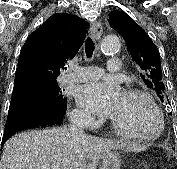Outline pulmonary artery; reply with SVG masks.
<instances>
[{"label":"pulmonary artery","mask_w":177,"mask_h":169,"mask_svg":"<svg viewBox=\"0 0 177 169\" xmlns=\"http://www.w3.org/2000/svg\"><path fill=\"white\" fill-rule=\"evenodd\" d=\"M107 65L110 72H119L121 69V61L118 57H109ZM70 69L72 72L62 78L64 84L93 81L100 78L104 73L101 68L96 66L82 67L73 64Z\"/></svg>","instance_id":"1"}]
</instances>
